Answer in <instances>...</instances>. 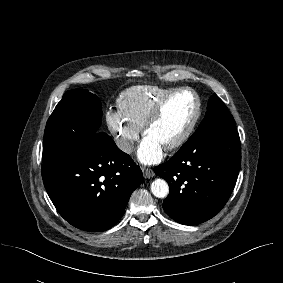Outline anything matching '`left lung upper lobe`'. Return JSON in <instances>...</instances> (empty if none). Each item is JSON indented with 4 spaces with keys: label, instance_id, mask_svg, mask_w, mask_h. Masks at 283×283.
<instances>
[{
    "label": "left lung upper lobe",
    "instance_id": "1",
    "mask_svg": "<svg viewBox=\"0 0 283 283\" xmlns=\"http://www.w3.org/2000/svg\"><path fill=\"white\" fill-rule=\"evenodd\" d=\"M235 127V121L228 108L216 94H213L209 99L207 112L203 121L190 138L212 131Z\"/></svg>",
    "mask_w": 283,
    "mask_h": 283
}]
</instances>
